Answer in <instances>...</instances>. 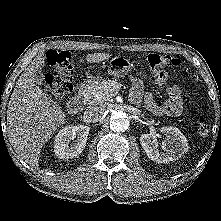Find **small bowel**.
Segmentation results:
<instances>
[{"instance_id":"c3829d8e","label":"small bowel","mask_w":221,"mask_h":221,"mask_svg":"<svg viewBox=\"0 0 221 221\" xmlns=\"http://www.w3.org/2000/svg\"><path fill=\"white\" fill-rule=\"evenodd\" d=\"M132 89L130 97L133 102L144 100L146 108L156 115H173L180 114L182 102L180 97V89L177 86H172L168 89V97L157 102L151 93H145L142 82L137 78H131Z\"/></svg>"}]
</instances>
